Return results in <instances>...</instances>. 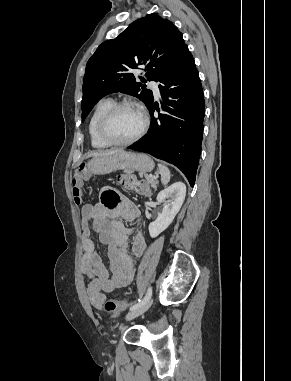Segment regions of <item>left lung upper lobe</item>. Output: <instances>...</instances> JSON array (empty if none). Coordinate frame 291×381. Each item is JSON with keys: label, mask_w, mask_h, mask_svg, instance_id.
Returning <instances> with one entry per match:
<instances>
[{"label": "left lung upper lobe", "mask_w": 291, "mask_h": 381, "mask_svg": "<svg viewBox=\"0 0 291 381\" xmlns=\"http://www.w3.org/2000/svg\"><path fill=\"white\" fill-rule=\"evenodd\" d=\"M186 48L182 33L157 13L134 21L117 38L103 42L86 66L82 119L102 97L114 92L135 96L148 107L152 91L137 82L131 71L143 65L145 78L158 81Z\"/></svg>", "instance_id": "1"}]
</instances>
